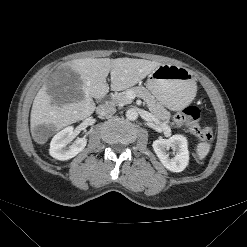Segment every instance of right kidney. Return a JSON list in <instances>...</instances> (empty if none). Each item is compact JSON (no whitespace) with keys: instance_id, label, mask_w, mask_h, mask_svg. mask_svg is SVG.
Here are the masks:
<instances>
[{"instance_id":"ca27d5eb","label":"right kidney","mask_w":247,"mask_h":247,"mask_svg":"<svg viewBox=\"0 0 247 247\" xmlns=\"http://www.w3.org/2000/svg\"><path fill=\"white\" fill-rule=\"evenodd\" d=\"M73 138V127L69 126L58 132L51 140L49 153L58 160H68L80 153L87 144L85 137L76 139L71 146L66 148Z\"/></svg>"}]
</instances>
